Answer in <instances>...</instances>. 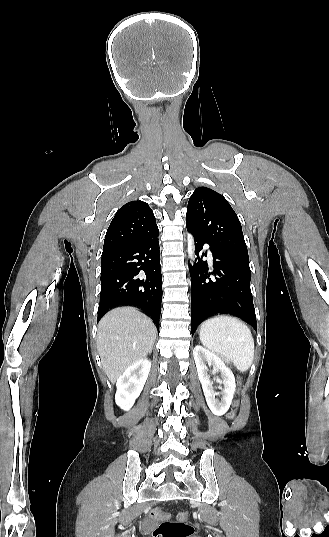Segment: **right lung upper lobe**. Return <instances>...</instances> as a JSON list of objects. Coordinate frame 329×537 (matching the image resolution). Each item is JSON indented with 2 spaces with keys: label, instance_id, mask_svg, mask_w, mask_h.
<instances>
[{
  "label": "right lung upper lobe",
  "instance_id": "cb5924a9",
  "mask_svg": "<svg viewBox=\"0 0 329 537\" xmlns=\"http://www.w3.org/2000/svg\"><path fill=\"white\" fill-rule=\"evenodd\" d=\"M158 230L148 204L131 201L121 207L113 218L104 240V250L135 243Z\"/></svg>",
  "mask_w": 329,
  "mask_h": 537
}]
</instances>
